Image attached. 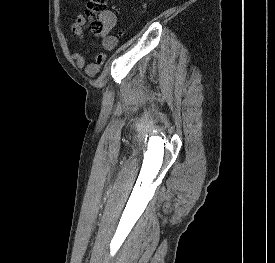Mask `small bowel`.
Wrapping results in <instances>:
<instances>
[{"instance_id":"c3829d8e","label":"small bowel","mask_w":275,"mask_h":263,"mask_svg":"<svg viewBox=\"0 0 275 263\" xmlns=\"http://www.w3.org/2000/svg\"><path fill=\"white\" fill-rule=\"evenodd\" d=\"M106 19L110 29L115 25L116 19L112 13L106 14ZM86 18L84 15L80 14L77 16L75 22L71 27L72 34L75 36L77 41L80 44H83L84 40V31H85ZM118 44V39L115 36H103L102 37V46L105 50L111 51L116 48ZM87 51L83 49L82 52H75L72 54V59L75 61L79 69H84L85 73L89 77L95 76L99 71L101 66L106 61V54L104 52H99L94 56L92 62L86 64V55Z\"/></svg>"}]
</instances>
